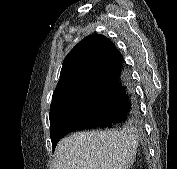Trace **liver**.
Returning a JSON list of instances; mask_svg holds the SVG:
<instances>
[{
    "mask_svg": "<svg viewBox=\"0 0 177 169\" xmlns=\"http://www.w3.org/2000/svg\"><path fill=\"white\" fill-rule=\"evenodd\" d=\"M137 146L138 139L130 128L77 132L57 144L54 169H128Z\"/></svg>",
    "mask_w": 177,
    "mask_h": 169,
    "instance_id": "1",
    "label": "liver"
}]
</instances>
